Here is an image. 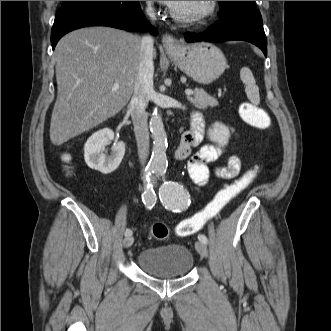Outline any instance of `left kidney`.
I'll return each mask as SVG.
<instances>
[{
    "mask_svg": "<svg viewBox=\"0 0 331 331\" xmlns=\"http://www.w3.org/2000/svg\"><path fill=\"white\" fill-rule=\"evenodd\" d=\"M208 137L211 141L219 144L220 146H224L228 143L230 131L228 127L222 123L216 122L212 125V128L208 130Z\"/></svg>",
    "mask_w": 331,
    "mask_h": 331,
    "instance_id": "1",
    "label": "left kidney"
}]
</instances>
